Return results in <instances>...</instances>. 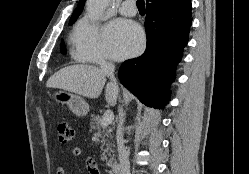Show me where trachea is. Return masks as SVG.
<instances>
[{"label":"trachea","mask_w":249,"mask_h":174,"mask_svg":"<svg viewBox=\"0 0 249 174\" xmlns=\"http://www.w3.org/2000/svg\"><path fill=\"white\" fill-rule=\"evenodd\" d=\"M137 8L139 9V10H145V2H144V0H137Z\"/></svg>","instance_id":"trachea-1"}]
</instances>
